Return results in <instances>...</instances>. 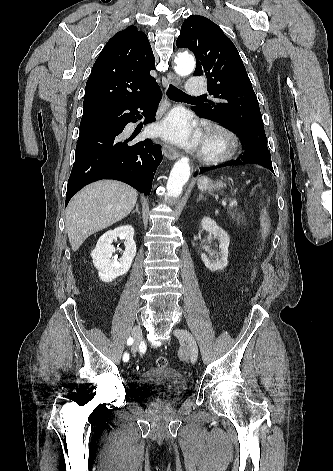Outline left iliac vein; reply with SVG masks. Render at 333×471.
I'll return each mask as SVG.
<instances>
[{"label":"left iliac vein","instance_id":"4c4485c4","mask_svg":"<svg viewBox=\"0 0 333 471\" xmlns=\"http://www.w3.org/2000/svg\"><path fill=\"white\" fill-rule=\"evenodd\" d=\"M173 333L180 341L185 343L190 360L195 364L198 358V346L193 335L188 330L180 328L174 329Z\"/></svg>","mask_w":333,"mask_h":471}]
</instances>
